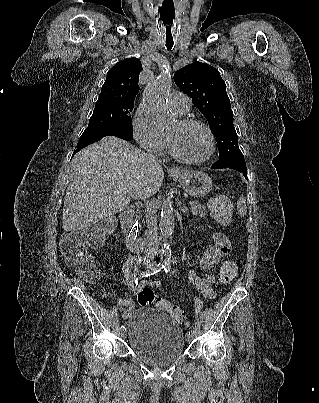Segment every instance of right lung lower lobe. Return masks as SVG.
Here are the masks:
<instances>
[{
    "mask_svg": "<svg viewBox=\"0 0 319 403\" xmlns=\"http://www.w3.org/2000/svg\"><path fill=\"white\" fill-rule=\"evenodd\" d=\"M113 135L124 140L130 141L133 139L132 133L114 126H99V127H88L80 137L79 142L76 146V152H79L84 147L92 144L96 141L101 140L103 137Z\"/></svg>",
    "mask_w": 319,
    "mask_h": 403,
    "instance_id": "98d812e1",
    "label": "right lung lower lobe"
}]
</instances>
